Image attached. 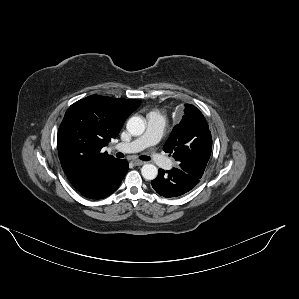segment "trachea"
Wrapping results in <instances>:
<instances>
[{
  "mask_svg": "<svg viewBox=\"0 0 299 299\" xmlns=\"http://www.w3.org/2000/svg\"><path fill=\"white\" fill-rule=\"evenodd\" d=\"M116 157H117V158H123V157H124V154L121 153V152H118V153H116ZM139 158H140L141 160H143V161H149V160H150V157H149V156H140Z\"/></svg>",
  "mask_w": 299,
  "mask_h": 299,
  "instance_id": "3493384b",
  "label": "trachea"
}]
</instances>
